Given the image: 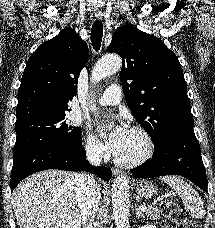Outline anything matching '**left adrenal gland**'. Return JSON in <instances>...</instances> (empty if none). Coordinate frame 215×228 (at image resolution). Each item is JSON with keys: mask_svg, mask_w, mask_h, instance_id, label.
<instances>
[{"mask_svg": "<svg viewBox=\"0 0 215 228\" xmlns=\"http://www.w3.org/2000/svg\"><path fill=\"white\" fill-rule=\"evenodd\" d=\"M135 214H136V218H145L144 214H142L141 210H139L138 208V204H135Z\"/></svg>", "mask_w": 215, "mask_h": 228, "instance_id": "obj_1", "label": "left adrenal gland"}]
</instances>
